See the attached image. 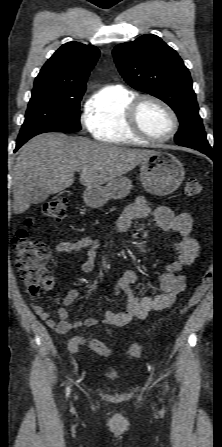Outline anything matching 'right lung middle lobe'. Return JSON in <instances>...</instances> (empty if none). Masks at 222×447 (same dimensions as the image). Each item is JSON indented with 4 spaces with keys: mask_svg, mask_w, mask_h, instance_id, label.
I'll return each mask as SVG.
<instances>
[{
    "mask_svg": "<svg viewBox=\"0 0 222 447\" xmlns=\"http://www.w3.org/2000/svg\"><path fill=\"white\" fill-rule=\"evenodd\" d=\"M83 95H65L49 88L38 87L32 91L25 121L17 139L21 147L35 135L53 131H79L80 100Z\"/></svg>",
    "mask_w": 222,
    "mask_h": 447,
    "instance_id": "obj_1",
    "label": "right lung middle lobe"
}]
</instances>
